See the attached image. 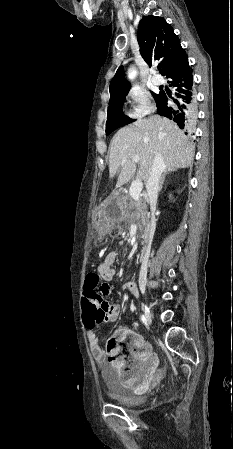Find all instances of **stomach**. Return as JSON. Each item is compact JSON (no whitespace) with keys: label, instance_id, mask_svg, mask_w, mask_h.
<instances>
[{"label":"stomach","instance_id":"obj_1","mask_svg":"<svg viewBox=\"0 0 233 449\" xmlns=\"http://www.w3.org/2000/svg\"><path fill=\"white\" fill-rule=\"evenodd\" d=\"M123 217L122 197L114 195L109 198L96 214L97 226L101 229L111 228Z\"/></svg>","mask_w":233,"mask_h":449}]
</instances>
